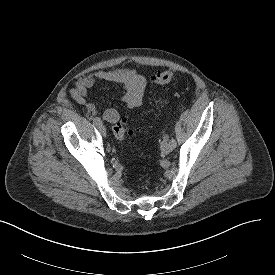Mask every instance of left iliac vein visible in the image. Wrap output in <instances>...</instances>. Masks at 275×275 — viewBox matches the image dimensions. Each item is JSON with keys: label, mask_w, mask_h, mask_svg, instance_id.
Here are the masks:
<instances>
[{"label": "left iliac vein", "mask_w": 275, "mask_h": 275, "mask_svg": "<svg viewBox=\"0 0 275 275\" xmlns=\"http://www.w3.org/2000/svg\"><path fill=\"white\" fill-rule=\"evenodd\" d=\"M161 150L165 154H169L173 150V146L170 141L164 140L161 144Z\"/></svg>", "instance_id": "1"}]
</instances>
